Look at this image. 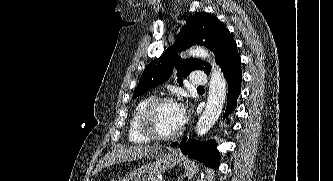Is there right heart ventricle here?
<instances>
[{
  "label": "right heart ventricle",
  "instance_id": "right-heart-ventricle-1",
  "mask_svg": "<svg viewBox=\"0 0 333 181\" xmlns=\"http://www.w3.org/2000/svg\"><path fill=\"white\" fill-rule=\"evenodd\" d=\"M152 96H147L141 99L134 108L132 117L129 125V140L136 144H147L151 141V138L146 136L140 127V116L147 105V103L152 99Z\"/></svg>",
  "mask_w": 333,
  "mask_h": 181
}]
</instances>
